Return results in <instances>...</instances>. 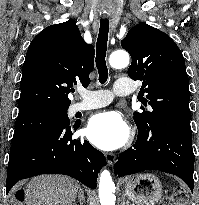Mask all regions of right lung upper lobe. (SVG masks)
I'll list each match as a JSON object with an SVG mask.
<instances>
[{
  "mask_svg": "<svg viewBox=\"0 0 199 205\" xmlns=\"http://www.w3.org/2000/svg\"><path fill=\"white\" fill-rule=\"evenodd\" d=\"M94 47L74 20L48 26L30 43L22 69L19 113L69 107L70 87L88 86Z\"/></svg>",
  "mask_w": 199,
  "mask_h": 205,
  "instance_id": "cb5924a9",
  "label": "right lung upper lobe"
}]
</instances>
